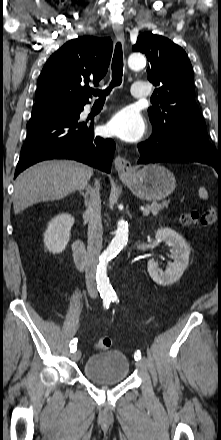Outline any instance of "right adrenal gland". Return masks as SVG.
<instances>
[{"label":"right adrenal gland","instance_id":"2a0ac1e0","mask_svg":"<svg viewBox=\"0 0 221 440\" xmlns=\"http://www.w3.org/2000/svg\"><path fill=\"white\" fill-rule=\"evenodd\" d=\"M85 190H86L85 193L82 192V191H79V192H80V194H81V195L83 196V198H84V205L87 206V205H88V194L91 193L92 188H91L90 185H87L86 188H85Z\"/></svg>","mask_w":221,"mask_h":440}]
</instances>
